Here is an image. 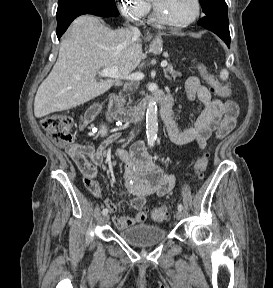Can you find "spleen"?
I'll return each instance as SVG.
<instances>
[{
  "instance_id": "obj_1",
  "label": "spleen",
  "mask_w": 273,
  "mask_h": 288,
  "mask_svg": "<svg viewBox=\"0 0 273 288\" xmlns=\"http://www.w3.org/2000/svg\"><path fill=\"white\" fill-rule=\"evenodd\" d=\"M228 75H229V72H228L227 69H223V70L220 72V78H221L223 81H226V80H227Z\"/></svg>"
}]
</instances>
